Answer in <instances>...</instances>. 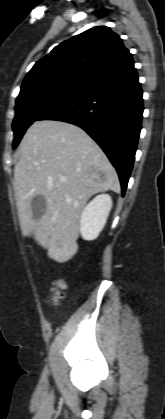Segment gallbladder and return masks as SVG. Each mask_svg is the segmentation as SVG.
<instances>
[{"mask_svg":"<svg viewBox=\"0 0 165 419\" xmlns=\"http://www.w3.org/2000/svg\"><path fill=\"white\" fill-rule=\"evenodd\" d=\"M46 200L43 196H34L31 200V210L34 219L41 218L46 212Z\"/></svg>","mask_w":165,"mask_h":419,"instance_id":"bac80fb5","label":"gallbladder"}]
</instances>
